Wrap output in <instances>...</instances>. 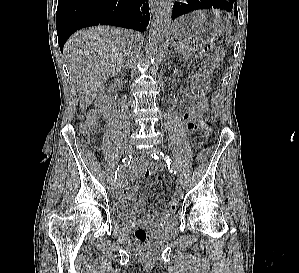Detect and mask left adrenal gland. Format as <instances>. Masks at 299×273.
I'll use <instances>...</instances> for the list:
<instances>
[{
  "mask_svg": "<svg viewBox=\"0 0 299 273\" xmlns=\"http://www.w3.org/2000/svg\"><path fill=\"white\" fill-rule=\"evenodd\" d=\"M174 47V46H173ZM173 47H171V50L169 52V57H175V52L173 51Z\"/></svg>",
  "mask_w": 299,
  "mask_h": 273,
  "instance_id": "1",
  "label": "left adrenal gland"
}]
</instances>
